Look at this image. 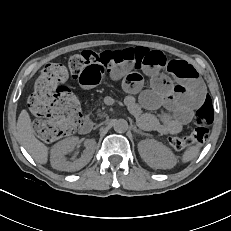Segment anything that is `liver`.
Segmentation results:
<instances>
[{
    "label": "liver",
    "mask_w": 231,
    "mask_h": 231,
    "mask_svg": "<svg viewBox=\"0 0 231 231\" xmlns=\"http://www.w3.org/2000/svg\"><path fill=\"white\" fill-rule=\"evenodd\" d=\"M17 132L21 144L31 157L40 164H46L49 148L35 137L30 116L25 109L18 117Z\"/></svg>",
    "instance_id": "obj_1"
}]
</instances>
